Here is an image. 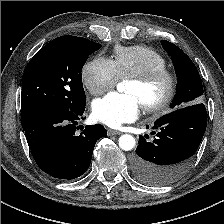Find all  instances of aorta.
<instances>
[{"label":"aorta","instance_id":"aorta-1","mask_svg":"<svg viewBox=\"0 0 224 224\" xmlns=\"http://www.w3.org/2000/svg\"><path fill=\"white\" fill-rule=\"evenodd\" d=\"M121 84L118 85V90H120ZM119 146L124 151H130L134 148L136 142L133 136L129 134H124L120 136L119 140Z\"/></svg>","mask_w":224,"mask_h":224}]
</instances>
